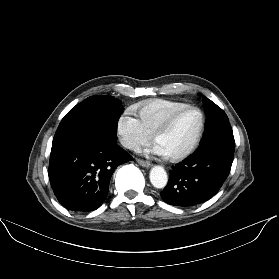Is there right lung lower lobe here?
Here are the masks:
<instances>
[{
    "instance_id": "98d812e1",
    "label": "right lung lower lobe",
    "mask_w": 279,
    "mask_h": 279,
    "mask_svg": "<svg viewBox=\"0 0 279 279\" xmlns=\"http://www.w3.org/2000/svg\"><path fill=\"white\" fill-rule=\"evenodd\" d=\"M116 140L117 134L103 132L72 145L52 147L49 180L65 208L93 211L101 206L114 170L132 160Z\"/></svg>"
}]
</instances>
